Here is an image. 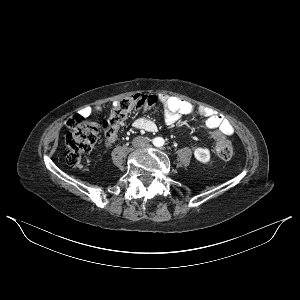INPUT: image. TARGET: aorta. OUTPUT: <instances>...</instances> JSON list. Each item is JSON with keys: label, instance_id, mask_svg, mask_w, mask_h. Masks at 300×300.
<instances>
[{"label": "aorta", "instance_id": "762f6f07", "mask_svg": "<svg viewBox=\"0 0 300 300\" xmlns=\"http://www.w3.org/2000/svg\"><path fill=\"white\" fill-rule=\"evenodd\" d=\"M164 143H165V141L162 137H156L153 139V144L156 147H161L164 145Z\"/></svg>", "mask_w": 300, "mask_h": 300}]
</instances>
